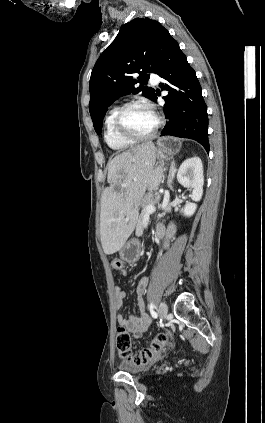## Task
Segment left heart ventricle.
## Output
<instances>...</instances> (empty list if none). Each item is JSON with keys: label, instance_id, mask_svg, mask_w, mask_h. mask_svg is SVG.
I'll return each instance as SVG.
<instances>
[{"label": "left heart ventricle", "instance_id": "left-heart-ventricle-1", "mask_svg": "<svg viewBox=\"0 0 265 423\" xmlns=\"http://www.w3.org/2000/svg\"><path fill=\"white\" fill-rule=\"evenodd\" d=\"M156 117L147 108L137 107L130 110L125 117L126 128L135 135H145L153 130Z\"/></svg>", "mask_w": 265, "mask_h": 423}]
</instances>
